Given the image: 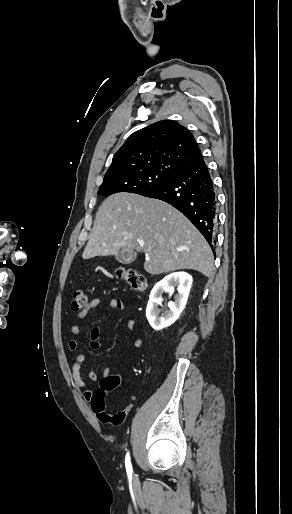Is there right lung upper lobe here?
Returning a JSON list of instances; mask_svg holds the SVG:
<instances>
[{
    "label": "right lung upper lobe",
    "instance_id": "cb5924a9",
    "mask_svg": "<svg viewBox=\"0 0 292 514\" xmlns=\"http://www.w3.org/2000/svg\"><path fill=\"white\" fill-rule=\"evenodd\" d=\"M192 133L175 121L151 124L128 137L114 154L104 178L144 172H168L203 163Z\"/></svg>",
    "mask_w": 292,
    "mask_h": 514
}]
</instances>
